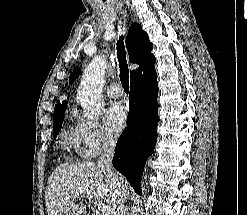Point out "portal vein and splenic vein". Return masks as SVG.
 Instances as JSON below:
<instances>
[{
    "instance_id": "obj_1",
    "label": "portal vein and splenic vein",
    "mask_w": 247,
    "mask_h": 215,
    "mask_svg": "<svg viewBox=\"0 0 247 215\" xmlns=\"http://www.w3.org/2000/svg\"><path fill=\"white\" fill-rule=\"evenodd\" d=\"M83 191L77 192L74 197L78 196L79 194H82ZM87 194H90L89 191H86ZM70 198V197H68ZM98 210L102 213V215H110V208L106 204H98Z\"/></svg>"
}]
</instances>
